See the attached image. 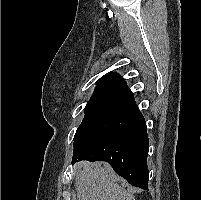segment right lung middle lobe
Listing matches in <instances>:
<instances>
[{
    "label": "right lung middle lobe",
    "mask_w": 201,
    "mask_h": 200,
    "mask_svg": "<svg viewBox=\"0 0 201 200\" xmlns=\"http://www.w3.org/2000/svg\"><path fill=\"white\" fill-rule=\"evenodd\" d=\"M131 100L128 97L119 96L112 93L96 92L93 93L84 111L85 116L82 123L78 127L74 139L79 136L84 130L94 125L101 119L110 115L111 113L121 109Z\"/></svg>",
    "instance_id": "dd1d6c3e"
}]
</instances>
